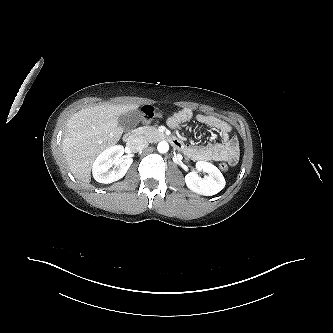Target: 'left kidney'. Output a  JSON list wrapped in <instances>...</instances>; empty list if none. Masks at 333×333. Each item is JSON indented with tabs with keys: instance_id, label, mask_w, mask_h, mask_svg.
Listing matches in <instances>:
<instances>
[{
	"instance_id": "1",
	"label": "left kidney",
	"mask_w": 333,
	"mask_h": 333,
	"mask_svg": "<svg viewBox=\"0 0 333 333\" xmlns=\"http://www.w3.org/2000/svg\"><path fill=\"white\" fill-rule=\"evenodd\" d=\"M196 170L185 176L187 187L193 192L211 196L220 192L225 187V179L220 170L213 164L205 161L196 162ZM205 172L204 178L198 175V172Z\"/></svg>"
}]
</instances>
